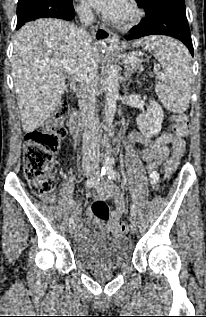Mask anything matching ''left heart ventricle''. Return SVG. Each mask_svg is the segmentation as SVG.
Listing matches in <instances>:
<instances>
[{"label":"left heart ventricle","mask_w":206,"mask_h":317,"mask_svg":"<svg viewBox=\"0 0 206 317\" xmlns=\"http://www.w3.org/2000/svg\"><path fill=\"white\" fill-rule=\"evenodd\" d=\"M128 14V10H127V7H126V4L124 3L121 8L119 9L117 15L115 16V18H119V19H122L124 17H126Z\"/></svg>","instance_id":"b2bd125f"}]
</instances>
